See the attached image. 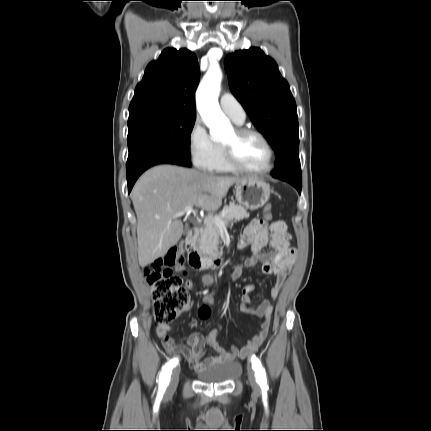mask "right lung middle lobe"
Segmentation results:
<instances>
[{"mask_svg": "<svg viewBox=\"0 0 431 431\" xmlns=\"http://www.w3.org/2000/svg\"><path fill=\"white\" fill-rule=\"evenodd\" d=\"M195 116L148 113L128 119V150L132 152L148 143H163L190 156V134Z\"/></svg>", "mask_w": 431, "mask_h": 431, "instance_id": "1", "label": "right lung middle lobe"}]
</instances>
